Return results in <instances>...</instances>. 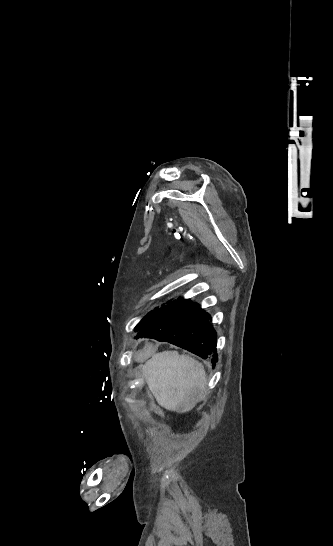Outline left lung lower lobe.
Listing matches in <instances>:
<instances>
[{"label": "left lung lower lobe", "instance_id": "left-lung-lower-lobe-1", "mask_svg": "<svg viewBox=\"0 0 333 546\" xmlns=\"http://www.w3.org/2000/svg\"><path fill=\"white\" fill-rule=\"evenodd\" d=\"M211 315L199 304L180 297L159 308L141 327L135 338H153L165 341L206 359L217 362V334Z\"/></svg>", "mask_w": 333, "mask_h": 546}]
</instances>
